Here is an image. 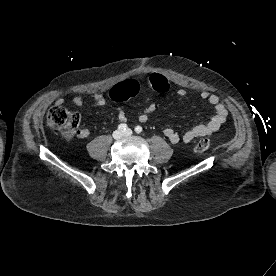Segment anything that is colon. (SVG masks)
<instances>
[{
  "label": "colon",
  "instance_id": "5ec220e1",
  "mask_svg": "<svg viewBox=\"0 0 276 276\" xmlns=\"http://www.w3.org/2000/svg\"><path fill=\"white\" fill-rule=\"evenodd\" d=\"M168 85V82L165 80ZM169 88V85H168ZM113 97H124L127 98L126 93L122 88L116 86L111 92ZM80 123V116L76 112H72L62 105H55L50 108L47 114L48 126L61 133L64 139L71 140L77 134V129ZM211 142L207 138L198 140L194 144V151L197 153H203L209 150Z\"/></svg>",
  "mask_w": 276,
  "mask_h": 276
}]
</instances>
